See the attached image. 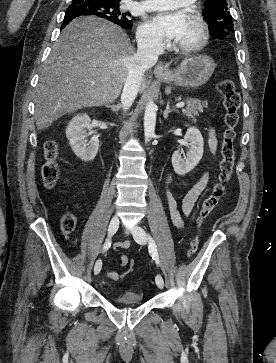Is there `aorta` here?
I'll return each mask as SVG.
<instances>
[{
    "instance_id": "aorta-1",
    "label": "aorta",
    "mask_w": 276,
    "mask_h": 363,
    "mask_svg": "<svg viewBox=\"0 0 276 363\" xmlns=\"http://www.w3.org/2000/svg\"><path fill=\"white\" fill-rule=\"evenodd\" d=\"M156 111V105L152 101L148 102L144 114V135L146 142H149L155 133Z\"/></svg>"
}]
</instances>
